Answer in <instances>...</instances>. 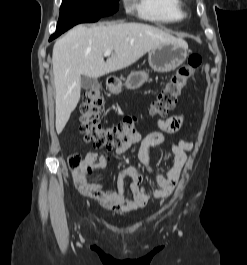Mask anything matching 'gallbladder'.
Listing matches in <instances>:
<instances>
[{"label": "gallbladder", "instance_id": "bac80fb5", "mask_svg": "<svg viewBox=\"0 0 247 265\" xmlns=\"http://www.w3.org/2000/svg\"><path fill=\"white\" fill-rule=\"evenodd\" d=\"M98 84L97 78H91L87 76H83L81 78V86L83 89L88 90L95 87Z\"/></svg>", "mask_w": 247, "mask_h": 265}]
</instances>
